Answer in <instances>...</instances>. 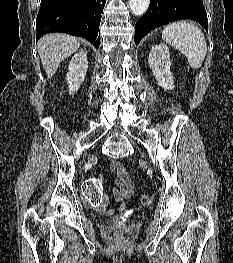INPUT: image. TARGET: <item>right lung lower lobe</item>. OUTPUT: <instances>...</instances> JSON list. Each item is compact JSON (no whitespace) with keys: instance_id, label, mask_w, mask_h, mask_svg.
<instances>
[{"instance_id":"obj_1","label":"right lung lower lobe","mask_w":233,"mask_h":263,"mask_svg":"<svg viewBox=\"0 0 233 263\" xmlns=\"http://www.w3.org/2000/svg\"><path fill=\"white\" fill-rule=\"evenodd\" d=\"M106 0H42L37 15L36 41L44 34L63 32L86 38L96 48Z\"/></svg>"}]
</instances>
